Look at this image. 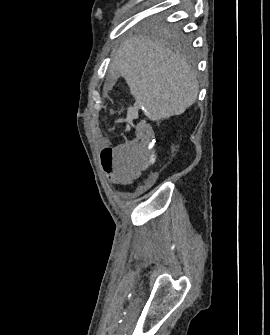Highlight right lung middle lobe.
<instances>
[{
	"instance_id": "dd1d6c3e",
	"label": "right lung middle lobe",
	"mask_w": 270,
	"mask_h": 335,
	"mask_svg": "<svg viewBox=\"0 0 270 335\" xmlns=\"http://www.w3.org/2000/svg\"><path fill=\"white\" fill-rule=\"evenodd\" d=\"M161 17L156 19V21H161ZM168 34L169 36L177 41L180 44H184L186 42V39L181 35L180 30L178 27H169L168 28Z\"/></svg>"
}]
</instances>
